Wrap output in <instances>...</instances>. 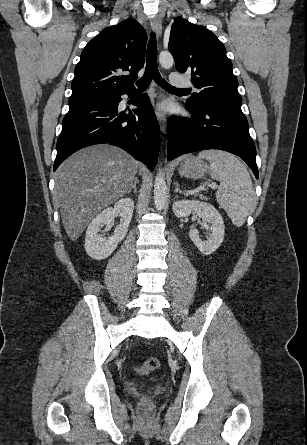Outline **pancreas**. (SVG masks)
<instances>
[{
  "label": "pancreas",
  "instance_id": "pancreas-1",
  "mask_svg": "<svg viewBox=\"0 0 307 445\" xmlns=\"http://www.w3.org/2000/svg\"><path fill=\"white\" fill-rule=\"evenodd\" d=\"M202 198H204V200H208L207 196H202Z\"/></svg>",
  "mask_w": 307,
  "mask_h": 445
}]
</instances>
